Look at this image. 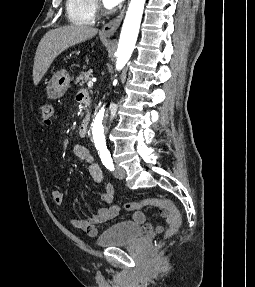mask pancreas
Listing matches in <instances>:
<instances>
[{
	"label": "pancreas",
	"mask_w": 255,
	"mask_h": 287,
	"mask_svg": "<svg viewBox=\"0 0 255 287\" xmlns=\"http://www.w3.org/2000/svg\"><path fill=\"white\" fill-rule=\"evenodd\" d=\"M92 70H88V72H80L79 78H76L75 84H79V86H83L85 82H88V80H92Z\"/></svg>",
	"instance_id": "obj_1"
}]
</instances>
